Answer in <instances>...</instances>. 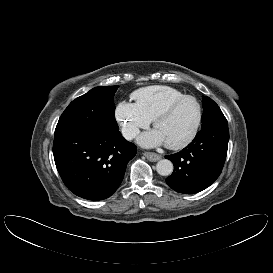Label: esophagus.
Instances as JSON below:
<instances>
[{
    "instance_id": "1",
    "label": "esophagus",
    "mask_w": 273,
    "mask_h": 273,
    "mask_svg": "<svg viewBox=\"0 0 273 273\" xmlns=\"http://www.w3.org/2000/svg\"><path fill=\"white\" fill-rule=\"evenodd\" d=\"M143 155L151 162H156L162 158L161 155L154 152H143Z\"/></svg>"
}]
</instances>
